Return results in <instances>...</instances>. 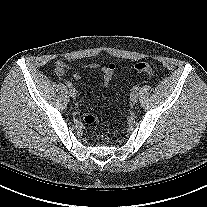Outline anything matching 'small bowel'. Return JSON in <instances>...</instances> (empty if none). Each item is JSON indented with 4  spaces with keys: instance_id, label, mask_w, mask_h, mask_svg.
<instances>
[{
    "instance_id": "c3829d8e",
    "label": "small bowel",
    "mask_w": 207,
    "mask_h": 207,
    "mask_svg": "<svg viewBox=\"0 0 207 207\" xmlns=\"http://www.w3.org/2000/svg\"><path fill=\"white\" fill-rule=\"evenodd\" d=\"M82 67L87 68V69H100L102 72L101 84L105 88L109 87L111 80H112V76H113L114 71L116 69V66L113 63L107 64L105 66H100L97 63H88V64H84ZM69 69H70L69 65H67L66 63H64L62 61H59V62H57L56 66H55L54 72L57 76H63L67 72V70H69ZM73 79L79 80L80 79L79 73H74Z\"/></svg>"
}]
</instances>
